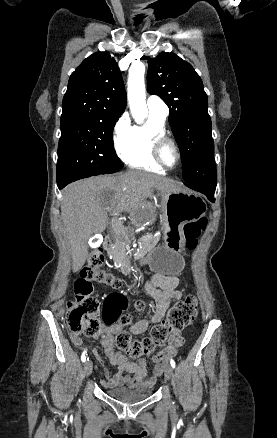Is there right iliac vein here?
I'll return each mask as SVG.
<instances>
[{
	"mask_svg": "<svg viewBox=\"0 0 277 438\" xmlns=\"http://www.w3.org/2000/svg\"><path fill=\"white\" fill-rule=\"evenodd\" d=\"M92 369H93V363L91 360L88 359L84 364L85 375L89 376L92 373Z\"/></svg>",
	"mask_w": 277,
	"mask_h": 438,
	"instance_id": "1",
	"label": "right iliac vein"
}]
</instances>
